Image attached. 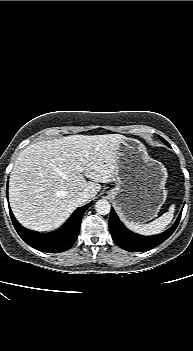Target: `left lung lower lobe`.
I'll list each match as a JSON object with an SVG mask.
<instances>
[{
    "mask_svg": "<svg viewBox=\"0 0 193 351\" xmlns=\"http://www.w3.org/2000/svg\"><path fill=\"white\" fill-rule=\"evenodd\" d=\"M181 213L179 214V217L177 218L174 225L171 228H169L167 231L156 236L146 237V236L137 235L127 230L125 226L122 224V222L119 220L115 211L111 209L110 219H109L110 233L115 243L126 251L141 252V251L150 250L170 237V235L175 231L180 221Z\"/></svg>",
    "mask_w": 193,
    "mask_h": 351,
    "instance_id": "0a47b994",
    "label": "left lung lower lobe"
}]
</instances>
